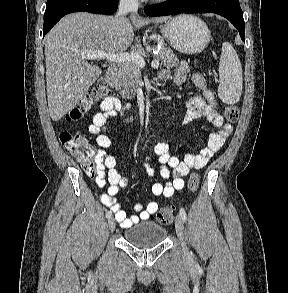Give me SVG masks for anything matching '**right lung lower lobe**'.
Wrapping results in <instances>:
<instances>
[{
  "instance_id": "98d812e1",
  "label": "right lung lower lobe",
  "mask_w": 288,
  "mask_h": 293,
  "mask_svg": "<svg viewBox=\"0 0 288 293\" xmlns=\"http://www.w3.org/2000/svg\"><path fill=\"white\" fill-rule=\"evenodd\" d=\"M119 0H60L46 5L44 13L43 36L66 14L86 11L96 14H113Z\"/></svg>"
}]
</instances>
